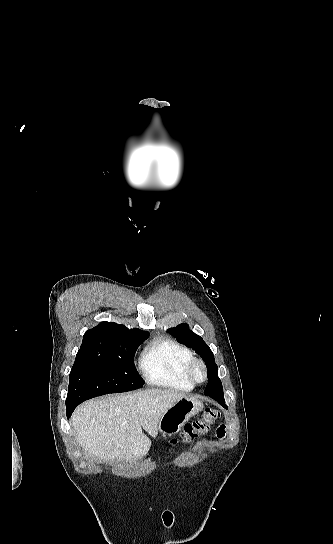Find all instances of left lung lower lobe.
<instances>
[{"mask_svg":"<svg viewBox=\"0 0 333 544\" xmlns=\"http://www.w3.org/2000/svg\"><path fill=\"white\" fill-rule=\"evenodd\" d=\"M205 395L216 400L224 408H227V405L225 404L223 392H210V393H206Z\"/></svg>","mask_w":333,"mask_h":544,"instance_id":"0a47b994","label":"left lung lower lobe"}]
</instances>
